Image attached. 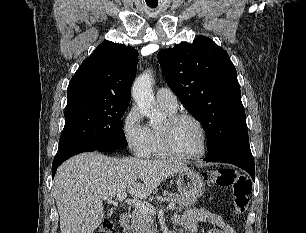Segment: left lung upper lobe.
Segmentation results:
<instances>
[{"mask_svg":"<svg viewBox=\"0 0 306 233\" xmlns=\"http://www.w3.org/2000/svg\"><path fill=\"white\" fill-rule=\"evenodd\" d=\"M158 60L169 87L201 121L209 155L249 144L237 72L223 48L200 36L159 51Z\"/></svg>","mask_w":306,"mask_h":233,"instance_id":"left-lung-upper-lobe-1","label":"left lung upper lobe"}]
</instances>
